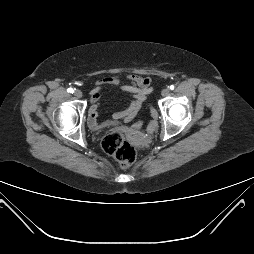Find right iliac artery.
Here are the masks:
<instances>
[{
	"mask_svg": "<svg viewBox=\"0 0 254 254\" xmlns=\"http://www.w3.org/2000/svg\"><path fill=\"white\" fill-rule=\"evenodd\" d=\"M69 93H73L74 92V89L73 88H68L67 90Z\"/></svg>",
	"mask_w": 254,
	"mask_h": 254,
	"instance_id": "82829eb1",
	"label": "right iliac artery"
}]
</instances>
